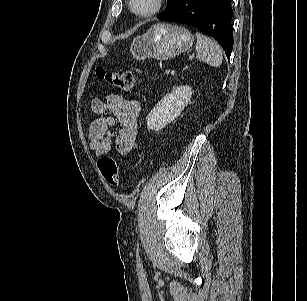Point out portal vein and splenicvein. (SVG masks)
<instances>
[{
  "label": "portal vein and splenic vein",
  "mask_w": 307,
  "mask_h": 301,
  "mask_svg": "<svg viewBox=\"0 0 307 301\" xmlns=\"http://www.w3.org/2000/svg\"><path fill=\"white\" fill-rule=\"evenodd\" d=\"M166 73H170V71H166Z\"/></svg>",
  "instance_id": "obj_1"
}]
</instances>
